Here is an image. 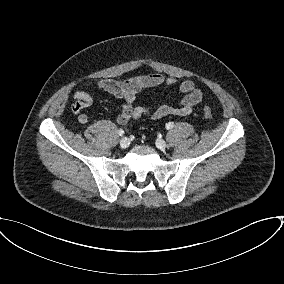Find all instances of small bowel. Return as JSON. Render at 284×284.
Returning a JSON list of instances; mask_svg holds the SVG:
<instances>
[{"mask_svg": "<svg viewBox=\"0 0 284 284\" xmlns=\"http://www.w3.org/2000/svg\"><path fill=\"white\" fill-rule=\"evenodd\" d=\"M176 83L177 79L175 77H166L159 73L139 75L126 80H96L74 92V102L71 104L70 109L72 113L77 115L80 124H86L88 116L83 113V110L92 104V97L87 89L96 87L122 100L121 111L117 116V122L121 125L144 116H148L153 120L169 115L187 116L192 113L203 97L202 91L197 88L192 80H184L178 85V92L182 94V98L177 105L162 104L156 108L134 106L136 95L140 91L159 86H172Z\"/></svg>", "mask_w": 284, "mask_h": 284, "instance_id": "1", "label": "small bowel"}]
</instances>
